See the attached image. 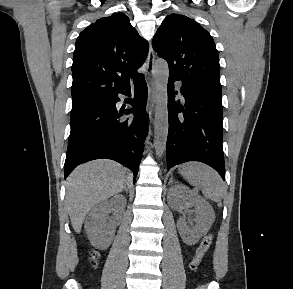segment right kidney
Here are the masks:
<instances>
[{
  "mask_svg": "<svg viewBox=\"0 0 293 289\" xmlns=\"http://www.w3.org/2000/svg\"><path fill=\"white\" fill-rule=\"evenodd\" d=\"M126 207V199L122 195H116L110 200L96 205L88 214L85 222V230L89 240L98 248L104 249L110 243L114 235V223L106 224L107 215L114 211L118 217Z\"/></svg>",
  "mask_w": 293,
  "mask_h": 289,
  "instance_id": "right-kidney-1",
  "label": "right kidney"
}]
</instances>
